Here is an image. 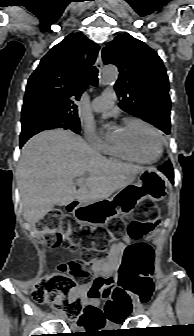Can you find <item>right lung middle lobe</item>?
<instances>
[{
    "label": "right lung middle lobe",
    "instance_id": "dd1d6c3e",
    "mask_svg": "<svg viewBox=\"0 0 194 336\" xmlns=\"http://www.w3.org/2000/svg\"><path fill=\"white\" fill-rule=\"evenodd\" d=\"M56 128L70 129L78 134L80 132V120L75 116L60 114L35 116L32 120L22 122L20 141L24 138H27L29 135L32 137L40 131Z\"/></svg>",
    "mask_w": 194,
    "mask_h": 336
}]
</instances>
